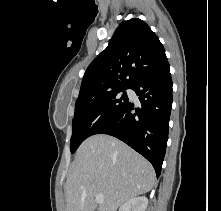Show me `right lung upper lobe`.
<instances>
[{
  "instance_id": "cb5924a9",
  "label": "right lung upper lobe",
  "mask_w": 221,
  "mask_h": 211,
  "mask_svg": "<svg viewBox=\"0 0 221 211\" xmlns=\"http://www.w3.org/2000/svg\"><path fill=\"white\" fill-rule=\"evenodd\" d=\"M169 66L155 33L140 19L122 22L107 48L88 66L78 98L129 88L141 77Z\"/></svg>"
}]
</instances>
